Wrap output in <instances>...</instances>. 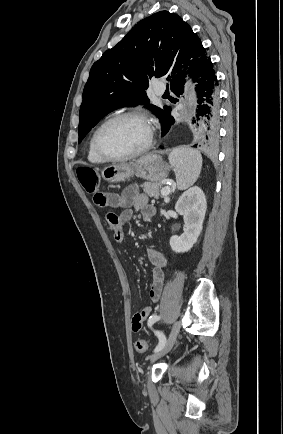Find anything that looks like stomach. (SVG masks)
<instances>
[{"instance_id":"obj_1","label":"stomach","mask_w":283,"mask_h":434,"mask_svg":"<svg viewBox=\"0 0 283 434\" xmlns=\"http://www.w3.org/2000/svg\"><path fill=\"white\" fill-rule=\"evenodd\" d=\"M169 174V166L157 153H150L130 163H117L105 167L102 178L111 183L123 182L133 175L149 180L160 182Z\"/></svg>"}]
</instances>
